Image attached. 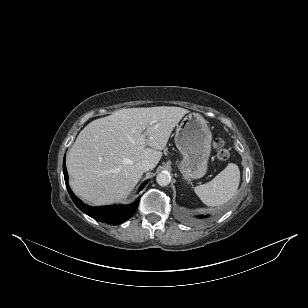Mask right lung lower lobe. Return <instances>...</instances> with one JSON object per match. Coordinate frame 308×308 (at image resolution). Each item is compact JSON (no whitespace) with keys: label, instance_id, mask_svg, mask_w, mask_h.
<instances>
[{"label":"right lung lower lobe","instance_id":"obj_1","mask_svg":"<svg viewBox=\"0 0 308 308\" xmlns=\"http://www.w3.org/2000/svg\"><path fill=\"white\" fill-rule=\"evenodd\" d=\"M63 173L68 193L70 194L75 205L90 217L104 223L117 225L131 218L137 210L139 199L130 205H109L103 207H90L85 205L71 191L68 184V173L65 166V157L63 161ZM148 181L141 185V190L146 186Z\"/></svg>","mask_w":308,"mask_h":308}]
</instances>
